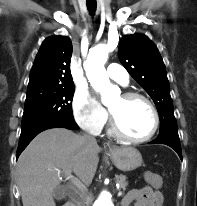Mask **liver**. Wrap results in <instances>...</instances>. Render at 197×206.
<instances>
[{"instance_id": "6515ba94", "label": "liver", "mask_w": 197, "mask_h": 206, "mask_svg": "<svg viewBox=\"0 0 197 206\" xmlns=\"http://www.w3.org/2000/svg\"><path fill=\"white\" fill-rule=\"evenodd\" d=\"M100 151L97 144L64 128L49 129L37 135L17 163L23 206H55L54 190L60 185L62 173L66 176L74 172L82 184H91Z\"/></svg>"}]
</instances>
